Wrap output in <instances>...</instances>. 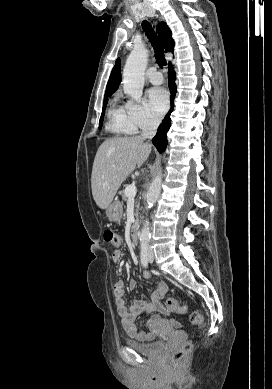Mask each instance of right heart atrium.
<instances>
[{
    "instance_id": "1",
    "label": "right heart atrium",
    "mask_w": 272,
    "mask_h": 389,
    "mask_svg": "<svg viewBox=\"0 0 272 389\" xmlns=\"http://www.w3.org/2000/svg\"><path fill=\"white\" fill-rule=\"evenodd\" d=\"M126 108L136 130H147L157 126L158 120L144 105L129 101Z\"/></svg>"
}]
</instances>
